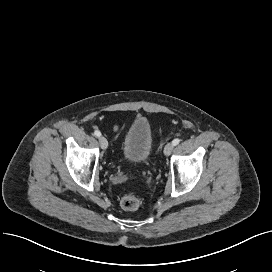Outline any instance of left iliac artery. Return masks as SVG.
Here are the masks:
<instances>
[{
    "instance_id": "left-iliac-artery-1",
    "label": "left iliac artery",
    "mask_w": 272,
    "mask_h": 272,
    "mask_svg": "<svg viewBox=\"0 0 272 272\" xmlns=\"http://www.w3.org/2000/svg\"><path fill=\"white\" fill-rule=\"evenodd\" d=\"M172 143L174 144V146L178 145L180 143V139L176 138L172 141Z\"/></svg>"
}]
</instances>
